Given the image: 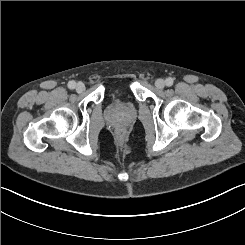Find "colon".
<instances>
[{
  "instance_id": "1",
  "label": "colon",
  "mask_w": 245,
  "mask_h": 245,
  "mask_svg": "<svg viewBox=\"0 0 245 245\" xmlns=\"http://www.w3.org/2000/svg\"><path fill=\"white\" fill-rule=\"evenodd\" d=\"M124 136H125V133L123 130H120L117 132V138L118 139L122 140L124 138Z\"/></svg>"
}]
</instances>
